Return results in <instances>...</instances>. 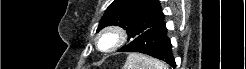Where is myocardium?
I'll return each instance as SVG.
<instances>
[{"label": "myocardium", "instance_id": "1", "mask_svg": "<svg viewBox=\"0 0 246 69\" xmlns=\"http://www.w3.org/2000/svg\"><path fill=\"white\" fill-rule=\"evenodd\" d=\"M126 33L119 27H108L105 28L101 33H99L96 43L99 49H101L105 41L113 42V45L108 49L103 50L105 52H111L119 49L126 41Z\"/></svg>", "mask_w": 246, "mask_h": 69}]
</instances>
